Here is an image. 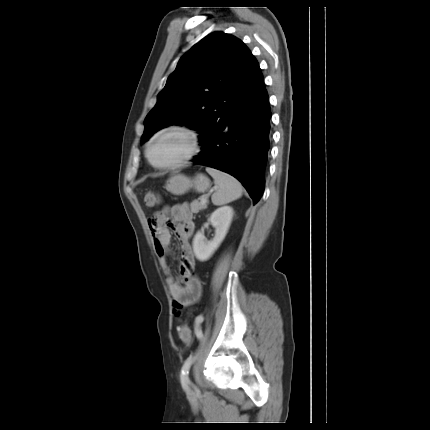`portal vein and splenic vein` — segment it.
I'll return each instance as SVG.
<instances>
[{
  "label": "portal vein and splenic vein",
  "mask_w": 430,
  "mask_h": 430,
  "mask_svg": "<svg viewBox=\"0 0 430 430\" xmlns=\"http://www.w3.org/2000/svg\"><path fill=\"white\" fill-rule=\"evenodd\" d=\"M207 202V197H203L202 199H201V203L202 204H204V203H206Z\"/></svg>",
  "instance_id": "18ae733b"
}]
</instances>
